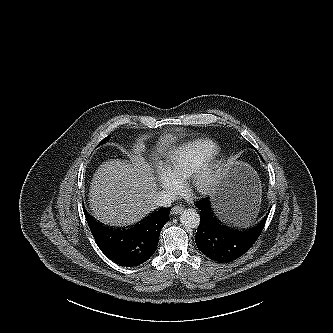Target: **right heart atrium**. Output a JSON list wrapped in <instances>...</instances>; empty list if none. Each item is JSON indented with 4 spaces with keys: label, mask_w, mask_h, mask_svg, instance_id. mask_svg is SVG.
Listing matches in <instances>:
<instances>
[{
    "label": "right heart atrium",
    "mask_w": 333,
    "mask_h": 333,
    "mask_svg": "<svg viewBox=\"0 0 333 333\" xmlns=\"http://www.w3.org/2000/svg\"><path fill=\"white\" fill-rule=\"evenodd\" d=\"M157 174L161 186L170 191L176 192L180 188V180L175 175H173L168 168L161 165L157 166Z\"/></svg>",
    "instance_id": "d8ad5b80"
}]
</instances>
